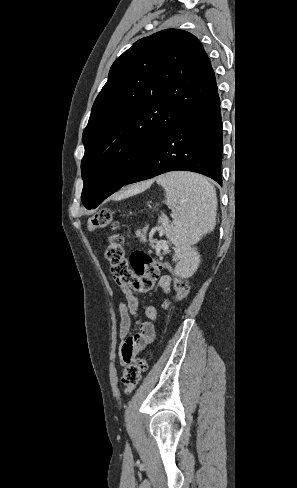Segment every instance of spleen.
<instances>
[{
	"label": "spleen",
	"mask_w": 297,
	"mask_h": 488,
	"mask_svg": "<svg viewBox=\"0 0 297 488\" xmlns=\"http://www.w3.org/2000/svg\"><path fill=\"white\" fill-rule=\"evenodd\" d=\"M166 191V203L175 209V220L159 218L167 238L176 246L179 266L195 267L198 258L191 245L204 233L214 229L217 199L213 186L202 176L187 172H170L157 178ZM186 259L188 261H186Z\"/></svg>",
	"instance_id": "spleen-1"
}]
</instances>
